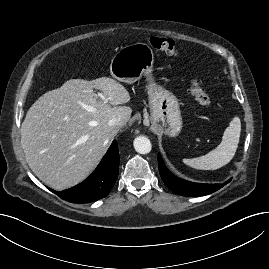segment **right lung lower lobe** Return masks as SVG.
<instances>
[{
  "instance_id": "98d812e1",
  "label": "right lung lower lobe",
  "mask_w": 269,
  "mask_h": 269,
  "mask_svg": "<svg viewBox=\"0 0 269 269\" xmlns=\"http://www.w3.org/2000/svg\"><path fill=\"white\" fill-rule=\"evenodd\" d=\"M119 170L117 141H113L95 171L82 183L60 192L58 196L72 203H88L104 198L114 186ZM49 189V188H48ZM55 192L52 189H49Z\"/></svg>"
}]
</instances>
